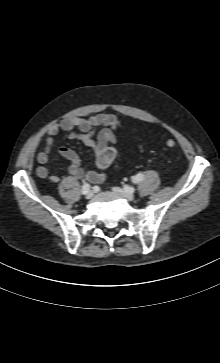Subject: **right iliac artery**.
I'll list each match as a JSON object with an SVG mask.
<instances>
[{"mask_svg":"<svg viewBox=\"0 0 220 363\" xmlns=\"http://www.w3.org/2000/svg\"><path fill=\"white\" fill-rule=\"evenodd\" d=\"M90 190V185L88 183H84V185L82 186V194L85 195L86 193H88Z\"/></svg>","mask_w":220,"mask_h":363,"instance_id":"1","label":"right iliac artery"}]
</instances>
